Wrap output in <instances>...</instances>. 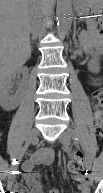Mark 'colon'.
Instances as JSON below:
<instances>
[{
	"instance_id": "obj_1",
	"label": "colon",
	"mask_w": 103,
	"mask_h": 193,
	"mask_svg": "<svg viewBox=\"0 0 103 193\" xmlns=\"http://www.w3.org/2000/svg\"><path fill=\"white\" fill-rule=\"evenodd\" d=\"M93 97L96 102L95 111V129L97 134L103 136V116H102V106H103V92L98 90L93 93ZM69 170L74 174H84L85 169L83 161L79 156L74 157L69 163ZM16 191H22V193H28L24 187H18ZM18 193V192H17Z\"/></svg>"
}]
</instances>
